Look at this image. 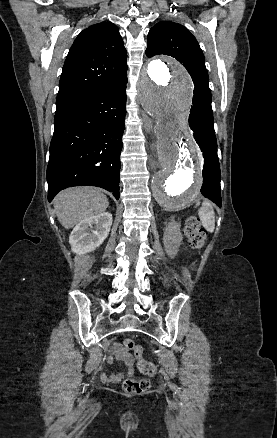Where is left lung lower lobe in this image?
Instances as JSON below:
<instances>
[{"label": "left lung lower lobe", "mask_w": 277, "mask_h": 438, "mask_svg": "<svg viewBox=\"0 0 277 438\" xmlns=\"http://www.w3.org/2000/svg\"><path fill=\"white\" fill-rule=\"evenodd\" d=\"M189 125L204 157L203 185L201 193L221 207L220 165L217 156V141L214 131L212 108L192 106Z\"/></svg>", "instance_id": "1"}]
</instances>
